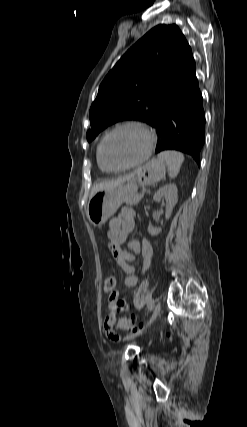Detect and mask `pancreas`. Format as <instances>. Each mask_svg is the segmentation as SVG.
<instances>
[{
  "mask_svg": "<svg viewBox=\"0 0 247 427\" xmlns=\"http://www.w3.org/2000/svg\"><path fill=\"white\" fill-rule=\"evenodd\" d=\"M143 197V193L142 194H135L130 200L127 201V203L131 204V205H137L139 203V201L142 199Z\"/></svg>",
  "mask_w": 247,
  "mask_h": 427,
  "instance_id": "1",
  "label": "pancreas"
}]
</instances>
